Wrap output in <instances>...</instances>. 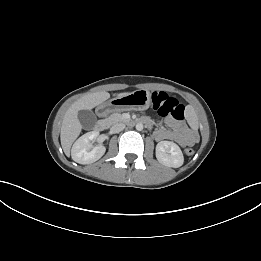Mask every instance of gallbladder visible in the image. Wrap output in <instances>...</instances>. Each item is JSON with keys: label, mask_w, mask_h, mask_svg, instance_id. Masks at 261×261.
Masks as SVG:
<instances>
[{"label": "gallbladder", "mask_w": 261, "mask_h": 261, "mask_svg": "<svg viewBox=\"0 0 261 261\" xmlns=\"http://www.w3.org/2000/svg\"><path fill=\"white\" fill-rule=\"evenodd\" d=\"M78 119L84 129H92L96 125V115L91 110H80Z\"/></svg>", "instance_id": "obj_1"}]
</instances>
